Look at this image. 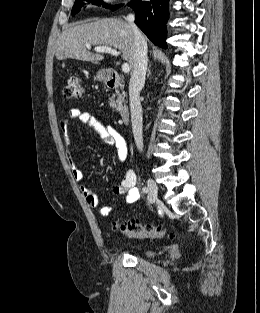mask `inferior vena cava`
I'll use <instances>...</instances> for the list:
<instances>
[{
    "mask_svg": "<svg viewBox=\"0 0 260 313\" xmlns=\"http://www.w3.org/2000/svg\"><path fill=\"white\" fill-rule=\"evenodd\" d=\"M134 34V64L129 82L130 112L134 140L138 150L143 149L142 137V107L140 103V91L145 83V76L148 64L147 43L134 22V15L126 17Z\"/></svg>",
    "mask_w": 260,
    "mask_h": 313,
    "instance_id": "602c4592",
    "label": "inferior vena cava"
}]
</instances>
